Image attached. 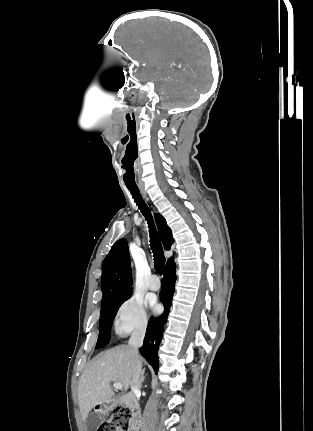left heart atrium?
<instances>
[{
    "label": "left heart atrium",
    "mask_w": 313,
    "mask_h": 431,
    "mask_svg": "<svg viewBox=\"0 0 313 431\" xmlns=\"http://www.w3.org/2000/svg\"><path fill=\"white\" fill-rule=\"evenodd\" d=\"M153 309H154L156 312H158V311L160 310V305H159V304H157V303H154V304H153Z\"/></svg>",
    "instance_id": "1"
}]
</instances>
